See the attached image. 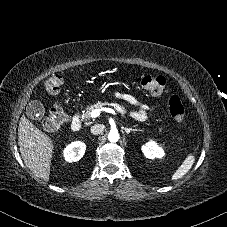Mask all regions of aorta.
I'll return each instance as SVG.
<instances>
[{
  "mask_svg": "<svg viewBox=\"0 0 227 227\" xmlns=\"http://www.w3.org/2000/svg\"><path fill=\"white\" fill-rule=\"evenodd\" d=\"M108 139L110 142H117L119 140V133L117 131H110Z\"/></svg>",
  "mask_w": 227,
  "mask_h": 227,
  "instance_id": "1",
  "label": "aorta"
}]
</instances>
